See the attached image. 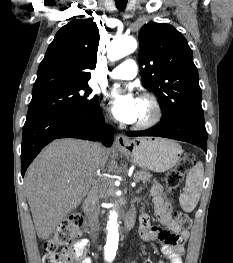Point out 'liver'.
<instances>
[{"instance_id":"obj_1","label":"liver","mask_w":233,"mask_h":263,"mask_svg":"<svg viewBox=\"0 0 233 263\" xmlns=\"http://www.w3.org/2000/svg\"><path fill=\"white\" fill-rule=\"evenodd\" d=\"M107 150L97 154L89 141L65 138L51 142L29 166L24 180L35 229L47 239L90 191Z\"/></svg>"}]
</instances>
